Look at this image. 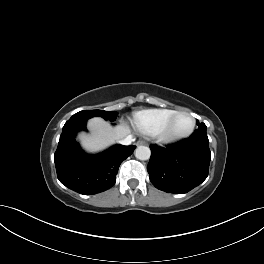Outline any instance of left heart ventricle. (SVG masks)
<instances>
[{"label":"left heart ventricle","instance_id":"obj_1","mask_svg":"<svg viewBox=\"0 0 264 264\" xmlns=\"http://www.w3.org/2000/svg\"><path fill=\"white\" fill-rule=\"evenodd\" d=\"M191 120L187 115H179L175 118L172 125L173 133H182L189 129Z\"/></svg>","mask_w":264,"mask_h":264}]
</instances>
